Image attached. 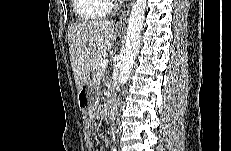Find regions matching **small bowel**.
Masks as SVG:
<instances>
[{
  "label": "small bowel",
  "mask_w": 231,
  "mask_h": 151,
  "mask_svg": "<svg viewBox=\"0 0 231 151\" xmlns=\"http://www.w3.org/2000/svg\"><path fill=\"white\" fill-rule=\"evenodd\" d=\"M98 117V113L93 114L90 118L84 122L85 144L87 151H94V145L91 140L92 123L95 118Z\"/></svg>",
  "instance_id": "c3829d8e"
}]
</instances>
